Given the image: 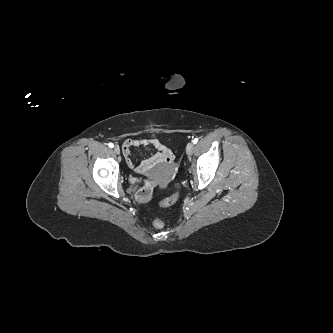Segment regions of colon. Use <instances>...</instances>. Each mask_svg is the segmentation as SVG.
Here are the masks:
<instances>
[{"instance_id":"obj_1","label":"colon","mask_w":333,"mask_h":333,"mask_svg":"<svg viewBox=\"0 0 333 333\" xmlns=\"http://www.w3.org/2000/svg\"><path fill=\"white\" fill-rule=\"evenodd\" d=\"M178 198H179V193L176 192L173 195H171V196L165 198L164 200H162L160 202V206H162V207H169V206L173 205L174 203H176V201L178 200ZM153 226L155 228H157V229H162L164 227V222L160 218H155L153 220Z\"/></svg>"}]
</instances>
